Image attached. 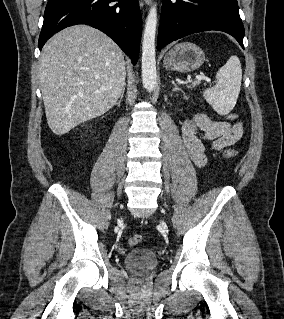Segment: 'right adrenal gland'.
Segmentation results:
<instances>
[{
  "instance_id": "obj_1",
  "label": "right adrenal gland",
  "mask_w": 284,
  "mask_h": 319,
  "mask_svg": "<svg viewBox=\"0 0 284 319\" xmlns=\"http://www.w3.org/2000/svg\"><path fill=\"white\" fill-rule=\"evenodd\" d=\"M124 91H125V87L123 88V91H122V93H121L120 99H119V101L117 102V105H118V106H120V104H121V101H122L123 95H124Z\"/></svg>"
}]
</instances>
